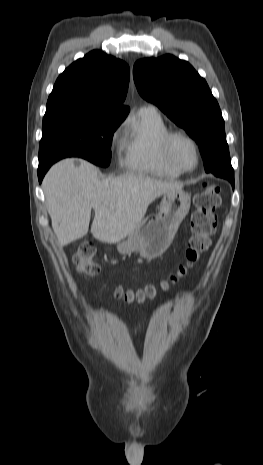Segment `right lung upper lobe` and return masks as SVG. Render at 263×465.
<instances>
[{
  "label": "right lung upper lobe",
  "instance_id": "cb5924a9",
  "mask_svg": "<svg viewBox=\"0 0 263 465\" xmlns=\"http://www.w3.org/2000/svg\"><path fill=\"white\" fill-rule=\"evenodd\" d=\"M130 70L120 59L94 50L71 64L58 77L47 107L80 105L126 112Z\"/></svg>",
  "mask_w": 263,
  "mask_h": 465
}]
</instances>
